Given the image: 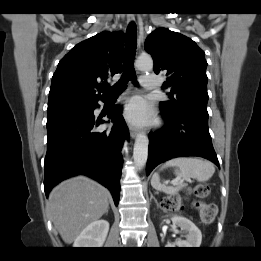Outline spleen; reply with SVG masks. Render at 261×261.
Masks as SVG:
<instances>
[{
  "label": "spleen",
  "mask_w": 261,
  "mask_h": 261,
  "mask_svg": "<svg viewBox=\"0 0 261 261\" xmlns=\"http://www.w3.org/2000/svg\"><path fill=\"white\" fill-rule=\"evenodd\" d=\"M167 167L177 168L175 172L177 179L193 178L199 182L209 180L215 172V166L212 162L192 157H180L169 160L161 166L160 170ZM151 185L154 189L170 195H175L181 190L179 184L167 186V182L161 183L157 172L152 176Z\"/></svg>",
  "instance_id": "spleen-1"
}]
</instances>
